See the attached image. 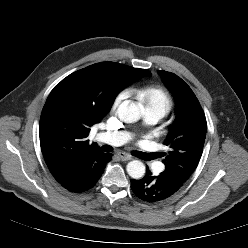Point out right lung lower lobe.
<instances>
[{
	"mask_svg": "<svg viewBox=\"0 0 248 248\" xmlns=\"http://www.w3.org/2000/svg\"><path fill=\"white\" fill-rule=\"evenodd\" d=\"M111 156L102 151L89 153L70 169L64 180L58 182L71 192H85L97 183Z\"/></svg>",
	"mask_w": 248,
	"mask_h": 248,
	"instance_id": "right-lung-lower-lobe-1",
	"label": "right lung lower lobe"
}]
</instances>
